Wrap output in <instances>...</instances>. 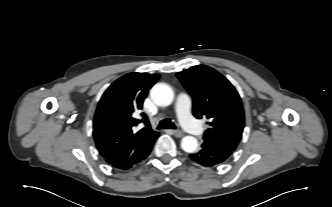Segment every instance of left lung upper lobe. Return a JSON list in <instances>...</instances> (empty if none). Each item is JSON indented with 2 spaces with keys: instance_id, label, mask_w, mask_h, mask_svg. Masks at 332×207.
<instances>
[{
  "instance_id": "5c2ea615",
  "label": "left lung upper lobe",
  "mask_w": 332,
  "mask_h": 207,
  "mask_svg": "<svg viewBox=\"0 0 332 207\" xmlns=\"http://www.w3.org/2000/svg\"><path fill=\"white\" fill-rule=\"evenodd\" d=\"M176 75L193 98V115L209 120L204 141L234 151L244 128V110L234 86L218 71L205 65Z\"/></svg>"
}]
</instances>
